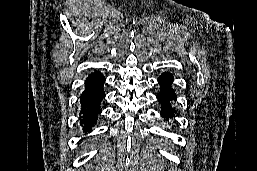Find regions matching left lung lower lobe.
Returning a JSON list of instances; mask_svg holds the SVG:
<instances>
[{
	"label": "left lung lower lobe",
	"instance_id": "left-lung-lower-lobe-1",
	"mask_svg": "<svg viewBox=\"0 0 257 171\" xmlns=\"http://www.w3.org/2000/svg\"><path fill=\"white\" fill-rule=\"evenodd\" d=\"M173 81V75L170 73H163L158 82L161 87V91L158 94V100L162 104L161 115L169 117L175 112V109L171 107L170 101L176 98L174 90L171 88V82Z\"/></svg>",
	"mask_w": 257,
	"mask_h": 171
}]
</instances>
